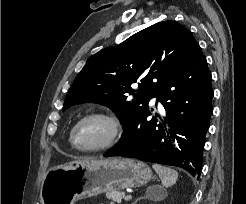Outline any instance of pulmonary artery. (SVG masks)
Masks as SVG:
<instances>
[{
  "instance_id": "obj_1",
  "label": "pulmonary artery",
  "mask_w": 246,
  "mask_h": 204,
  "mask_svg": "<svg viewBox=\"0 0 246 204\" xmlns=\"http://www.w3.org/2000/svg\"><path fill=\"white\" fill-rule=\"evenodd\" d=\"M157 101V97L152 99V102H156Z\"/></svg>"
}]
</instances>
